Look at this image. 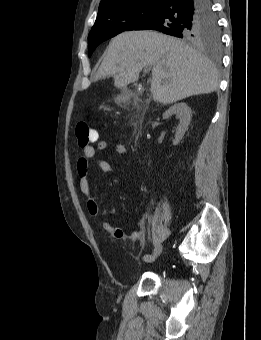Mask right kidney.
Wrapping results in <instances>:
<instances>
[{
	"instance_id": "1",
	"label": "right kidney",
	"mask_w": 261,
	"mask_h": 340,
	"mask_svg": "<svg viewBox=\"0 0 261 340\" xmlns=\"http://www.w3.org/2000/svg\"><path fill=\"white\" fill-rule=\"evenodd\" d=\"M173 114H176L177 118L179 119V125L176 128L175 139L173 141V145H177L188 129L192 114L190 107L183 102L171 106L167 111L164 112L163 118L167 119Z\"/></svg>"
}]
</instances>
